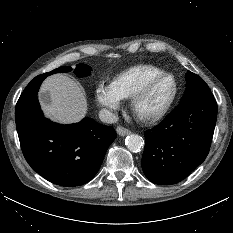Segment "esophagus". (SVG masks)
<instances>
[{
  "mask_svg": "<svg viewBox=\"0 0 233 233\" xmlns=\"http://www.w3.org/2000/svg\"><path fill=\"white\" fill-rule=\"evenodd\" d=\"M116 131L120 136H126V135L131 133L130 130H128V129L122 127V126H118L116 128Z\"/></svg>",
  "mask_w": 233,
  "mask_h": 233,
  "instance_id": "esophagus-1",
  "label": "esophagus"
}]
</instances>
